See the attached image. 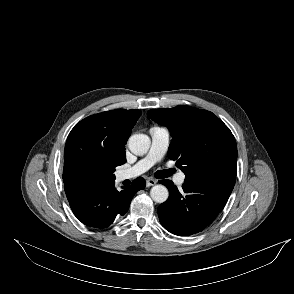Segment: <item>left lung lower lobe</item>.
I'll return each mask as SVG.
<instances>
[{"label":"left lung lower lobe","mask_w":294,"mask_h":294,"mask_svg":"<svg viewBox=\"0 0 294 294\" xmlns=\"http://www.w3.org/2000/svg\"><path fill=\"white\" fill-rule=\"evenodd\" d=\"M169 190V198L158 207L162 226L169 232L188 236L204 230L224 208L234 182L219 177L185 181L183 190L170 180H160Z\"/></svg>","instance_id":"1"}]
</instances>
